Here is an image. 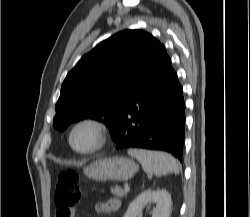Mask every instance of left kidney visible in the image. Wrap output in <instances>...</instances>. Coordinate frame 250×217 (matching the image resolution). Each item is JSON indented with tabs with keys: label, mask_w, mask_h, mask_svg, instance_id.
<instances>
[{
	"label": "left kidney",
	"mask_w": 250,
	"mask_h": 217,
	"mask_svg": "<svg viewBox=\"0 0 250 217\" xmlns=\"http://www.w3.org/2000/svg\"><path fill=\"white\" fill-rule=\"evenodd\" d=\"M152 202L156 206L152 211V217H169L171 209V195L164 189L146 190L139 194L133 202L129 204L124 217H138L142 206Z\"/></svg>",
	"instance_id": "5707ae66"
}]
</instances>
